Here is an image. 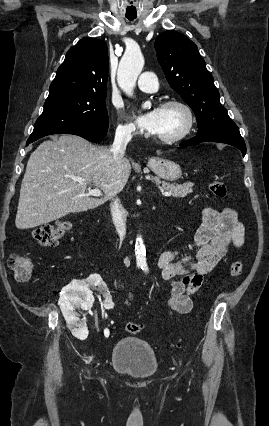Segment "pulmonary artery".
Instances as JSON below:
<instances>
[{"label":"pulmonary artery","mask_w":269,"mask_h":426,"mask_svg":"<svg viewBox=\"0 0 269 426\" xmlns=\"http://www.w3.org/2000/svg\"><path fill=\"white\" fill-rule=\"evenodd\" d=\"M137 86L144 92H155L158 88L157 77L153 72H143L137 81Z\"/></svg>","instance_id":"e3ab8cb5"}]
</instances>
